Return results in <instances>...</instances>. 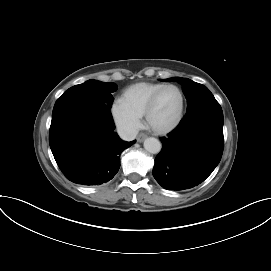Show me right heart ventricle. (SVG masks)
<instances>
[{"mask_svg": "<svg viewBox=\"0 0 271 271\" xmlns=\"http://www.w3.org/2000/svg\"><path fill=\"white\" fill-rule=\"evenodd\" d=\"M163 86L162 83H136L122 92L120 100L130 111L141 117L150 98Z\"/></svg>", "mask_w": 271, "mask_h": 271, "instance_id": "1", "label": "right heart ventricle"}]
</instances>
